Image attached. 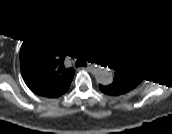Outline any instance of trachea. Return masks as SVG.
I'll return each instance as SVG.
<instances>
[{
    "instance_id": "1",
    "label": "trachea",
    "mask_w": 172,
    "mask_h": 134,
    "mask_svg": "<svg viewBox=\"0 0 172 134\" xmlns=\"http://www.w3.org/2000/svg\"><path fill=\"white\" fill-rule=\"evenodd\" d=\"M84 63V60L79 58L77 61H76V66H79V65H82Z\"/></svg>"
}]
</instances>
